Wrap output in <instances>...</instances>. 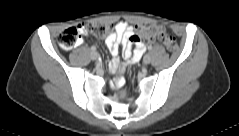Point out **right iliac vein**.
Instances as JSON below:
<instances>
[{"label":"right iliac vein","mask_w":239,"mask_h":136,"mask_svg":"<svg viewBox=\"0 0 239 136\" xmlns=\"http://www.w3.org/2000/svg\"><path fill=\"white\" fill-rule=\"evenodd\" d=\"M98 57H99V55H98L97 52L93 51V52L91 53V59H92V60H97Z\"/></svg>","instance_id":"1"}]
</instances>
